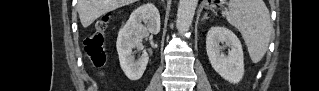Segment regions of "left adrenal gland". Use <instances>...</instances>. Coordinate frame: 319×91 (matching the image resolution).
<instances>
[{"instance_id": "left-adrenal-gland-1", "label": "left adrenal gland", "mask_w": 319, "mask_h": 91, "mask_svg": "<svg viewBox=\"0 0 319 91\" xmlns=\"http://www.w3.org/2000/svg\"><path fill=\"white\" fill-rule=\"evenodd\" d=\"M208 18H209V17H208V14L205 13V15L203 16L202 20H205V19H208Z\"/></svg>"}]
</instances>
